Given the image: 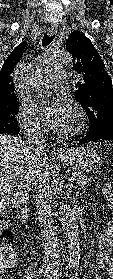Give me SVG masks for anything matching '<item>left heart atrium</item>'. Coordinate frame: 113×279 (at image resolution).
Here are the masks:
<instances>
[{
  "label": "left heart atrium",
  "mask_w": 113,
  "mask_h": 279,
  "mask_svg": "<svg viewBox=\"0 0 113 279\" xmlns=\"http://www.w3.org/2000/svg\"><path fill=\"white\" fill-rule=\"evenodd\" d=\"M44 120L47 126L54 132H64L74 120V112L65 99L54 101L44 112Z\"/></svg>",
  "instance_id": "1"
}]
</instances>
